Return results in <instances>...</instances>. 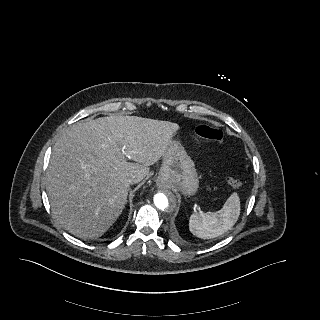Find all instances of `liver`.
<instances>
[{
  "instance_id": "liver-1",
  "label": "liver",
  "mask_w": 320,
  "mask_h": 320,
  "mask_svg": "<svg viewBox=\"0 0 320 320\" xmlns=\"http://www.w3.org/2000/svg\"><path fill=\"white\" fill-rule=\"evenodd\" d=\"M179 128L137 116L100 117L67 128L45 177L56 221L81 239L102 236L127 203L128 178L143 180Z\"/></svg>"
}]
</instances>
